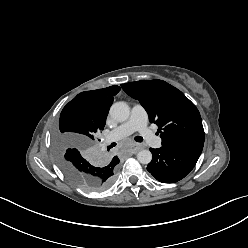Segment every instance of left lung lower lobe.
<instances>
[{"label":"left lung lower lobe","instance_id":"1","mask_svg":"<svg viewBox=\"0 0 248 248\" xmlns=\"http://www.w3.org/2000/svg\"><path fill=\"white\" fill-rule=\"evenodd\" d=\"M204 138L180 141L159 149L151 148L147 170L160 182L175 183L194 168L202 152Z\"/></svg>","mask_w":248,"mask_h":248}]
</instances>
